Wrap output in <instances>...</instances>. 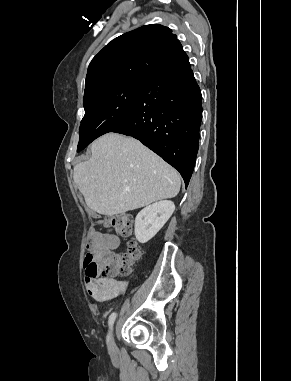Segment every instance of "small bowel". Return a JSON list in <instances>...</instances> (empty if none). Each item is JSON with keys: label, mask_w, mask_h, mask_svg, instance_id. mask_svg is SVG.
I'll return each instance as SVG.
<instances>
[{"label": "small bowel", "mask_w": 291, "mask_h": 381, "mask_svg": "<svg viewBox=\"0 0 291 381\" xmlns=\"http://www.w3.org/2000/svg\"><path fill=\"white\" fill-rule=\"evenodd\" d=\"M93 243L100 250H114L118 248L120 240L112 234H104L97 230L91 233ZM85 286L88 294L96 301H107L118 297L125 292L127 283L112 277H85Z\"/></svg>", "instance_id": "c3829d8e"}]
</instances>
